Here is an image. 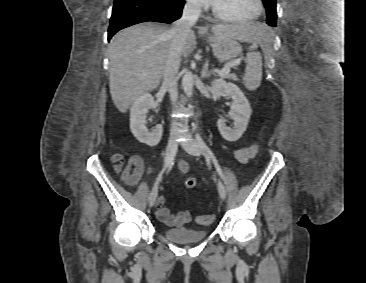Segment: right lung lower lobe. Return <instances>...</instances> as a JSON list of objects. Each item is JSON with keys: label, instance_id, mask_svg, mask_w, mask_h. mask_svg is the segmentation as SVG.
I'll list each match as a JSON object with an SVG mask.
<instances>
[{"label": "right lung lower lobe", "instance_id": "98d812e1", "mask_svg": "<svg viewBox=\"0 0 366 283\" xmlns=\"http://www.w3.org/2000/svg\"><path fill=\"white\" fill-rule=\"evenodd\" d=\"M185 0H115L108 40L119 30L134 24L156 21L171 23L181 17Z\"/></svg>", "mask_w": 366, "mask_h": 283}]
</instances>
